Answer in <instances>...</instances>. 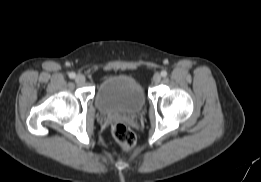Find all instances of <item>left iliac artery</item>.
Here are the masks:
<instances>
[{
	"label": "left iliac artery",
	"instance_id": "left-iliac-artery-1",
	"mask_svg": "<svg viewBox=\"0 0 261 182\" xmlns=\"http://www.w3.org/2000/svg\"><path fill=\"white\" fill-rule=\"evenodd\" d=\"M161 76L162 77H166L167 76V71H165V70L161 71Z\"/></svg>",
	"mask_w": 261,
	"mask_h": 182
}]
</instances>
